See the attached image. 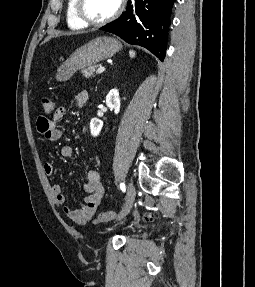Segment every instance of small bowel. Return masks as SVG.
Wrapping results in <instances>:
<instances>
[{"label":"small bowel","mask_w":255,"mask_h":287,"mask_svg":"<svg viewBox=\"0 0 255 287\" xmlns=\"http://www.w3.org/2000/svg\"><path fill=\"white\" fill-rule=\"evenodd\" d=\"M88 95L86 92H80L75 97V107H81L86 103ZM68 108L62 106L56 109L52 119H47L40 116L37 119V130L49 142H57L62 138V130L59 127L60 121L65 117ZM73 148L70 145H65L60 150V155L64 158L71 157ZM44 171L47 175H52L55 172V167L52 162H47L44 165ZM52 195L55 203L61 207L63 213L73 222L77 224H84L87 222H98L95 218L98 207L104 197L105 189L101 182V176L98 171L88 169L86 172V183L84 184V191L86 195L82 198V205L78 208H70L67 206L66 197L63 194L60 185L52 186ZM144 221H152L155 215L146 213L143 216Z\"/></svg>","instance_id":"obj_1"}]
</instances>
